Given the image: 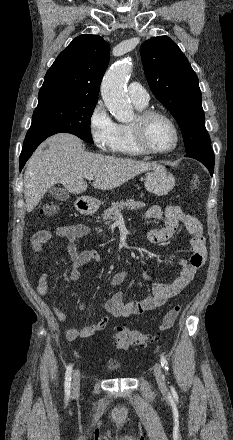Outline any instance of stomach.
<instances>
[{"instance_id": "obj_1", "label": "stomach", "mask_w": 233, "mask_h": 440, "mask_svg": "<svg viewBox=\"0 0 233 440\" xmlns=\"http://www.w3.org/2000/svg\"><path fill=\"white\" fill-rule=\"evenodd\" d=\"M144 186L148 192L164 196L174 188L175 177L165 167H158L146 174ZM89 205L95 206V202L89 200Z\"/></svg>"}]
</instances>
